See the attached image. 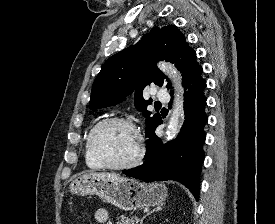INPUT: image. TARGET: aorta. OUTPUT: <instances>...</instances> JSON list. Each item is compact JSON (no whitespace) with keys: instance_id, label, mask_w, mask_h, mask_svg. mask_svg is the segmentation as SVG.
Returning <instances> with one entry per match:
<instances>
[{"instance_id":"obj_1","label":"aorta","mask_w":275,"mask_h":224,"mask_svg":"<svg viewBox=\"0 0 275 224\" xmlns=\"http://www.w3.org/2000/svg\"><path fill=\"white\" fill-rule=\"evenodd\" d=\"M158 68L165 74H167L170 78L173 79V82L178 85L181 81V77L177 70L170 64L165 62H160L158 64ZM183 111V100L178 95L175 97L174 107L172 114L169 119V123L166 130V139H173L180 131V116Z\"/></svg>"}]
</instances>
